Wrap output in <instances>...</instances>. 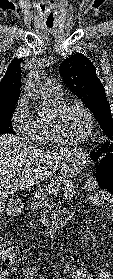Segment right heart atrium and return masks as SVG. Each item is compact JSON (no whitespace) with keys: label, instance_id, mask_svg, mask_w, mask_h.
<instances>
[{"label":"right heart atrium","instance_id":"obj_1","mask_svg":"<svg viewBox=\"0 0 113 279\" xmlns=\"http://www.w3.org/2000/svg\"><path fill=\"white\" fill-rule=\"evenodd\" d=\"M11 124L18 134L29 135L33 125V117L29 113L27 99L24 96L19 99L12 113Z\"/></svg>","mask_w":113,"mask_h":279}]
</instances>
